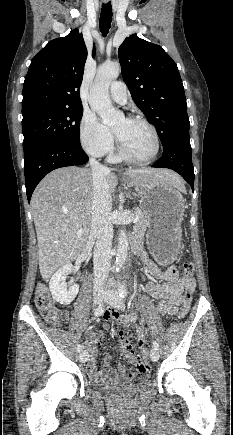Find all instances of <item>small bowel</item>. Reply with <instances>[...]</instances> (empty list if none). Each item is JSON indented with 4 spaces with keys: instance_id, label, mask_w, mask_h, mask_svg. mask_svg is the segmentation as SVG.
I'll return each instance as SVG.
<instances>
[{
    "instance_id": "obj_1",
    "label": "small bowel",
    "mask_w": 233,
    "mask_h": 435,
    "mask_svg": "<svg viewBox=\"0 0 233 435\" xmlns=\"http://www.w3.org/2000/svg\"><path fill=\"white\" fill-rule=\"evenodd\" d=\"M138 246L137 254L140 256L144 272L148 276L147 290L158 301L157 312L159 315H175L181 303V290L183 288L180 283V273L178 269L171 266L165 270H160L159 267L151 261L147 254L143 251L141 245L135 242ZM162 280L163 283H158L157 280ZM190 289H194V285H190ZM137 317L136 312L130 314H119L115 310H107L104 313L105 319H113L120 326H130L134 329L137 339V344L140 347L145 345V330L136 324L134 320ZM105 328L109 327L108 323H104ZM119 343L122 352L127 361L136 366L139 357L133 354L132 346L130 345L124 331H119ZM105 340V335L100 332H89V339L86 346L90 350V359L88 361V372L91 379L97 383L102 382L104 377H114L117 379L123 378L132 380L136 377L143 378L144 375L149 374L150 370L142 373H128L123 364H118L116 369L112 368V356L106 355L103 359V371L100 372L96 365V350ZM143 352L146 353L144 350Z\"/></svg>"
}]
</instances>
